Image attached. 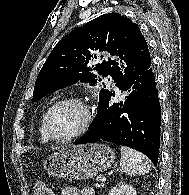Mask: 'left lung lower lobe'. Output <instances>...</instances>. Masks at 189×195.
Segmentation results:
<instances>
[{
    "label": "left lung lower lobe",
    "instance_id": "1",
    "mask_svg": "<svg viewBox=\"0 0 189 195\" xmlns=\"http://www.w3.org/2000/svg\"><path fill=\"white\" fill-rule=\"evenodd\" d=\"M119 88L128 93L126 100L112 103L113 93L97 111L89 132L74 144L113 142L144 153L157 166L161 108L151 61Z\"/></svg>",
    "mask_w": 189,
    "mask_h": 195
}]
</instances>
